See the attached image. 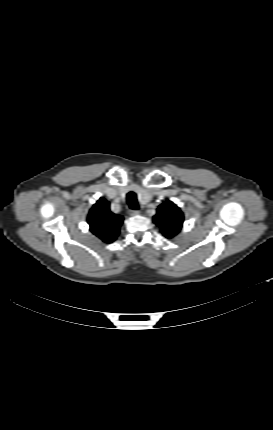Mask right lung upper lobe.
Segmentation results:
<instances>
[{"label": "right lung upper lobe", "instance_id": "cb5924a9", "mask_svg": "<svg viewBox=\"0 0 273 430\" xmlns=\"http://www.w3.org/2000/svg\"><path fill=\"white\" fill-rule=\"evenodd\" d=\"M109 202L100 198L88 214L90 231L106 243L113 242L118 233L123 217L109 209Z\"/></svg>", "mask_w": 273, "mask_h": 430}]
</instances>
